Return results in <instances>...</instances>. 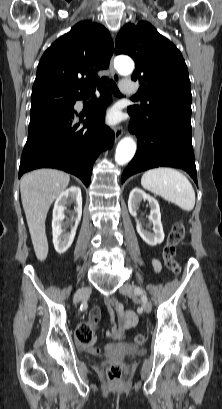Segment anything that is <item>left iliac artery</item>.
Listing matches in <instances>:
<instances>
[{"label": "left iliac artery", "instance_id": "left-iliac-artery-1", "mask_svg": "<svg viewBox=\"0 0 222 409\" xmlns=\"http://www.w3.org/2000/svg\"><path fill=\"white\" fill-rule=\"evenodd\" d=\"M142 289L141 288H139V287H137L136 289H135V292L137 293V294H141L142 293Z\"/></svg>", "mask_w": 222, "mask_h": 409}]
</instances>
